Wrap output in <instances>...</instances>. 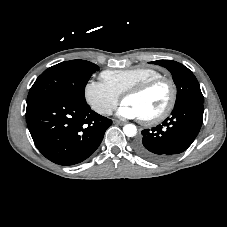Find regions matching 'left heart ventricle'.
Returning <instances> with one entry per match:
<instances>
[{
    "label": "left heart ventricle",
    "mask_w": 227,
    "mask_h": 227,
    "mask_svg": "<svg viewBox=\"0 0 227 227\" xmlns=\"http://www.w3.org/2000/svg\"><path fill=\"white\" fill-rule=\"evenodd\" d=\"M170 89L166 83H160L149 91L138 96H128L123 102L133 105L141 118H149L159 114L167 105Z\"/></svg>",
    "instance_id": "b2bd125f"
}]
</instances>
